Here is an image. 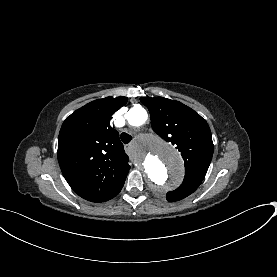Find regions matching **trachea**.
I'll use <instances>...</instances> for the list:
<instances>
[{"label":"trachea","mask_w":277,"mask_h":277,"mask_svg":"<svg viewBox=\"0 0 277 277\" xmlns=\"http://www.w3.org/2000/svg\"><path fill=\"white\" fill-rule=\"evenodd\" d=\"M121 140H122V142L124 144H128L132 140V136L127 134V133H125V132H123L121 134Z\"/></svg>","instance_id":"3493384b"}]
</instances>
